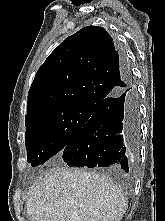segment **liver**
<instances>
[{
	"label": "liver",
	"instance_id": "liver-1",
	"mask_svg": "<svg viewBox=\"0 0 165 221\" xmlns=\"http://www.w3.org/2000/svg\"><path fill=\"white\" fill-rule=\"evenodd\" d=\"M127 199L107 177L76 168L52 167L29 192L32 221H120Z\"/></svg>",
	"mask_w": 165,
	"mask_h": 221
}]
</instances>
